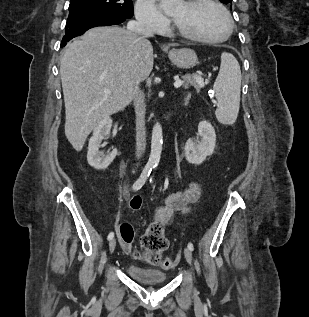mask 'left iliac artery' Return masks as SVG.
<instances>
[{
	"instance_id": "1",
	"label": "left iliac artery",
	"mask_w": 309,
	"mask_h": 317,
	"mask_svg": "<svg viewBox=\"0 0 309 317\" xmlns=\"http://www.w3.org/2000/svg\"><path fill=\"white\" fill-rule=\"evenodd\" d=\"M150 182H152V179L150 180ZM188 248L193 251L194 250V246L191 242L188 243Z\"/></svg>"
}]
</instances>
